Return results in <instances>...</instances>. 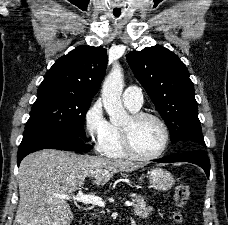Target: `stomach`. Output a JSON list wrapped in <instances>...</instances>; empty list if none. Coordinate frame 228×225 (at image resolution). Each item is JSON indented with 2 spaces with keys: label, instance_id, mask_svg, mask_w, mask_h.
I'll use <instances>...</instances> for the list:
<instances>
[{
  "label": "stomach",
  "instance_id": "stomach-1",
  "mask_svg": "<svg viewBox=\"0 0 228 225\" xmlns=\"http://www.w3.org/2000/svg\"><path fill=\"white\" fill-rule=\"evenodd\" d=\"M148 179L151 189H155V191H169L175 183L171 173L165 169H159V167L151 169Z\"/></svg>",
  "mask_w": 228,
  "mask_h": 225
}]
</instances>
